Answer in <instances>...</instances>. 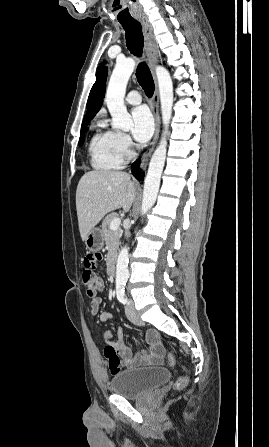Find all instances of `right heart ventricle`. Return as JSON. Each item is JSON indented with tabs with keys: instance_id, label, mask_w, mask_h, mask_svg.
Listing matches in <instances>:
<instances>
[{
	"instance_id": "obj_1",
	"label": "right heart ventricle",
	"mask_w": 269,
	"mask_h": 447,
	"mask_svg": "<svg viewBox=\"0 0 269 447\" xmlns=\"http://www.w3.org/2000/svg\"><path fill=\"white\" fill-rule=\"evenodd\" d=\"M89 151L91 165L95 169H116L123 164L124 157L115 131L99 129L92 138Z\"/></svg>"
}]
</instances>
